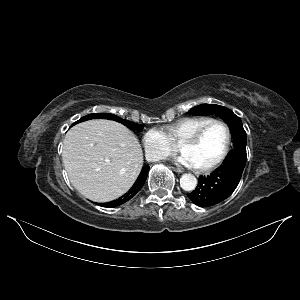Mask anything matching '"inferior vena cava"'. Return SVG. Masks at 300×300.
I'll use <instances>...</instances> for the list:
<instances>
[{
  "label": "inferior vena cava",
  "instance_id": "602c4592",
  "mask_svg": "<svg viewBox=\"0 0 300 300\" xmlns=\"http://www.w3.org/2000/svg\"><path fill=\"white\" fill-rule=\"evenodd\" d=\"M149 161H159L160 159H163V156L161 154H151L147 157Z\"/></svg>",
  "mask_w": 300,
  "mask_h": 300
}]
</instances>
